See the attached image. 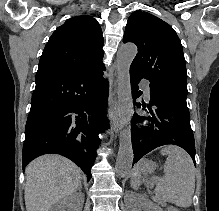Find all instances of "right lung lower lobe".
Instances as JSON below:
<instances>
[{"instance_id":"1","label":"right lung lower lobe","mask_w":219,"mask_h":211,"mask_svg":"<svg viewBox=\"0 0 219 211\" xmlns=\"http://www.w3.org/2000/svg\"><path fill=\"white\" fill-rule=\"evenodd\" d=\"M104 64L92 70L36 74V87L25 128L23 169L49 153L77 164L88 180L100 139L108 127V81Z\"/></svg>"}]
</instances>
